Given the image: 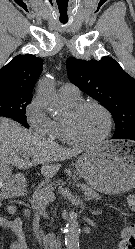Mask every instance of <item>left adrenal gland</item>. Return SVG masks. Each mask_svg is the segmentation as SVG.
<instances>
[{
  "label": "left adrenal gland",
  "instance_id": "obj_1",
  "mask_svg": "<svg viewBox=\"0 0 135 249\" xmlns=\"http://www.w3.org/2000/svg\"><path fill=\"white\" fill-rule=\"evenodd\" d=\"M91 213L94 215H98V214H100V211H91Z\"/></svg>",
  "mask_w": 135,
  "mask_h": 249
}]
</instances>
